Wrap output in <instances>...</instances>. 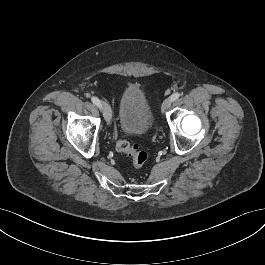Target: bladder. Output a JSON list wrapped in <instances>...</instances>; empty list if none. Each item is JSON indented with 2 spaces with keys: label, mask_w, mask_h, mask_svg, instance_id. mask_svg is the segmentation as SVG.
<instances>
[{
  "label": "bladder",
  "mask_w": 265,
  "mask_h": 265,
  "mask_svg": "<svg viewBox=\"0 0 265 265\" xmlns=\"http://www.w3.org/2000/svg\"><path fill=\"white\" fill-rule=\"evenodd\" d=\"M118 120L128 135H142L152 126L154 115L143 90L136 85L127 86L120 97Z\"/></svg>",
  "instance_id": "31cf9c89"
}]
</instances>
